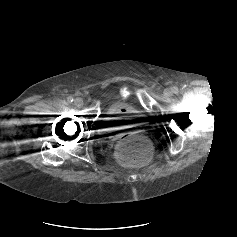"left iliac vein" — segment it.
I'll list each match as a JSON object with an SVG mask.
<instances>
[{"label":"left iliac vein","mask_w":237,"mask_h":237,"mask_svg":"<svg viewBox=\"0 0 237 237\" xmlns=\"http://www.w3.org/2000/svg\"><path fill=\"white\" fill-rule=\"evenodd\" d=\"M165 96L170 97L172 95V90L171 89H166L164 91Z\"/></svg>","instance_id":"1"}]
</instances>
